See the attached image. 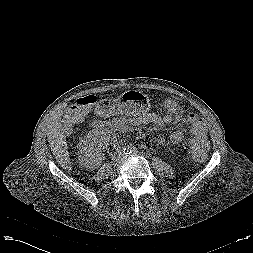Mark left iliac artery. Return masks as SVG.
I'll list each match as a JSON object with an SVG mask.
<instances>
[{"instance_id": "1", "label": "left iliac artery", "mask_w": 253, "mask_h": 253, "mask_svg": "<svg viewBox=\"0 0 253 253\" xmlns=\"http://www.w3.org/2000/svg\"><path fill=\"white\" fill-rule=\"evenodd\" d=\"M132 152H133L134 154H137V153H138V150H137L136 148H134V149L132 150Z\"/></svg>"}]
</instances>
